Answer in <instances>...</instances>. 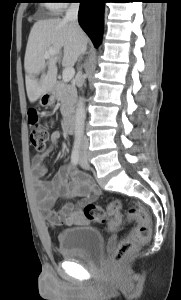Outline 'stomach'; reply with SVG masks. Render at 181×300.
Masks as SVG:
<instances>
[{"mask_svg": "<svg viewBox=\"0 0 181 300\" xmlns=\"http://www.w3.org/2000/svg\"><path fill=\"white\" fill-rule=\"evenodd\" d=\"M56 98V91L53 88L51 91H48L46 93H44L41 97H40V101L39 103L42 106H50L51 104H53V102L55 101Z\"/></svg>", "mask_w": 181, "mask_h": 300, "instance_id": "stomach-1", "label": "stomach"}]
</instances>
